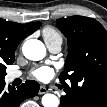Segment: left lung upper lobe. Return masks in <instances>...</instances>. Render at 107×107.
<instances>
[{"label": "left lung upper lobe", "mask_w": 107, "mask_h": 107, "mask_svg": "<svg viewBox=\"0 0 107 107\" xmlns=\"http://www.w3.org/2000/svg\"><path fill=\"white\" fill-rule=\"evenodd\" d=\"M56 22L68 38L65 70L59 76L64 88L71 89L73 97H79L83 87L107 85V32L104 27L95 19L82 16Z\"/></svg>", "instance_id": "5c2ea615"}]
</instances>
